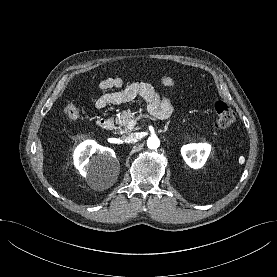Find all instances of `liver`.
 Listing matches in <instances>:
<instances>
[{
    "mask_svg": "<svg viewBox=\"0 0 277 277\" xmlns=\"http://www.w3.org/2000/svg\"><path fill=\"white\" fill-rule=\"evenodd\" d=\"M37 150H38L39 165H40V167H42V166H43V159H44V156H43V148H42V145H41L40 142L38 143Z\"/></svg>",
    "mask_w": 277,
    "mask_h": 277,
    "instance_id": "6515ba94",
    "label": "liver"
}]
</instances>
